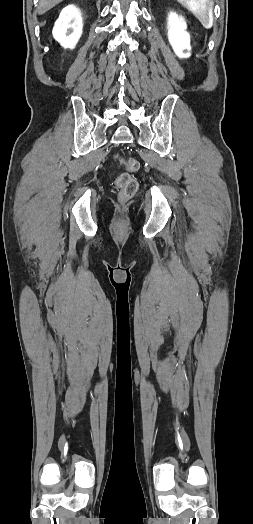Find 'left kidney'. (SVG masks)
Masks as SVG:
<instances>
[{
    "label": "left kidney",
    "mask_w": 253,
    "mask_h": 524,
    "mask_svg": "<svg viewBox=\"0 0 253 524\" xmlns=\"http://www.w3.org/2000/svg\"><path fill=\"white\" fill-rule=\"evenodd\" d=\"M186 22L182 16H178L175 12H170L168 15L167 29L168 40L173 48V51L179 58H188L191 50L190 35L186 31Z\"/></svg>",
    "instance_id": "left-kidney-1"
}]
</instances>
